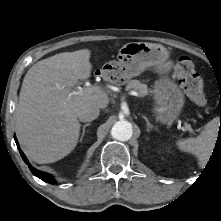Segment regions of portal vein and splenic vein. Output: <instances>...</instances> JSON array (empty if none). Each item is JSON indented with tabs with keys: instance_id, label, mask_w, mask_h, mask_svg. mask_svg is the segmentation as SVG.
Returning a JSON list of instances; mask_svg holds the SVG:
<instances>
[{
	"instance_id": "obj_1",
	"label": "portal vein and splenic vein",
	"mask_w": 221,
	"mask_h": 221,
	"mask_svg": "<svg viewBox=\"0 0 221 221\" xmlns=\"http://www.w3.org/2000/svg\"><path fill=\"white\" fill-rule=\"evenodd\" d=\"M78 89H79L78 91H73L70 95H73V94H81L82 91H83V88L79 87ZM85 89H86V91H87L88 93H94V92H100V91H101V88H100V87L94 86V85L87 86V87H85ZM185 128H187L188 130H190L188 124L185 125Z\"/></svg>"
}]
</instances>
